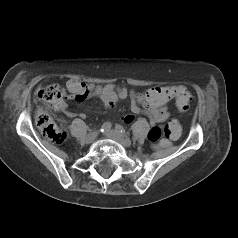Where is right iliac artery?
<instances>
[{"label": "right iliac artery", "mask_w": 238, "mask_h": 238, "mask_svg": "<svg viewBox=\"0 0 238 238\" xmlns=\"http://www.w3.org/2000/svg\"><path fill=\"white\" fill-rule=\"evenodd\" d=\"M111 128V123L110 122H105L102 126H101V132H106L108 130H110Z\"/></svg>", "instance_id": "82829eb1"}]
</instances>
